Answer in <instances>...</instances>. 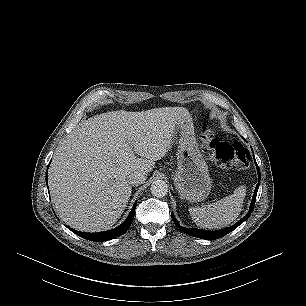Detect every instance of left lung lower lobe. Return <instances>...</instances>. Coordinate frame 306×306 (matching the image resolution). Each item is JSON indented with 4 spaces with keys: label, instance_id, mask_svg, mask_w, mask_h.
<instances>
[{
    "label": "left lung lower lobe",
    "instance_id": "left-lung-lower-lobe-1",
    "mask_svg": "<svg viewBox=\"0 0 306 306\" xmlns=\"http://www.w3.org/2000/svg\"><path fill=\"white\" fill-rule=\"evenodd\" d=\"M254 159H255V157H254ZM255 164H256V167H257L258 178H259V182H260V169H259V166L256 163V160H255ZM258 188H259V183L257 184V186L255 188L254 195H253V198H252L250 208H249V211H248L247 215L231 227L220 229V230H217V231H204V230L194 229V228L187 229V228H184V227L180 226V224L178 223V221L176 220V218L174 217L173 214H172V220H173L174 224L179 229H181L184 233H186L188 235L198 237V238H202V239H207V240H214V239L221 238V237L227 235L228 233H230L231 231H233L234 229H236L239 225H241L245 220L248 219V217L250 216V214L252 213V211L254 209Z\"/></svg>",
    "mask_w": 306,
    "mask_h": 306
}]
</instances>
